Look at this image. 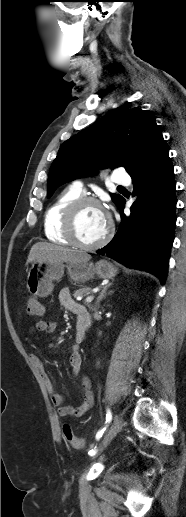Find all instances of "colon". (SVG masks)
Here are the masks:
<instances>
[{"label":"colon","instance_id":"colon-1","mask_svg":"<svg viewBox=\"0 0 186 517\" xmlns=\"http://www.w3.org/2000/svg\"><path fill=\"white\" fill-rule=\"evenodd\" d=\"M43 306L39 299L36 297H30L27 299L26 303V313L30 317H36L43 314ZM64 439L74 448V449H83L86 445V442L83 438H79L75 436L72 431L70 425L65 424L62 428Z\"/></svg>","mask_w":186,"mask_h":517}]
</instances>
